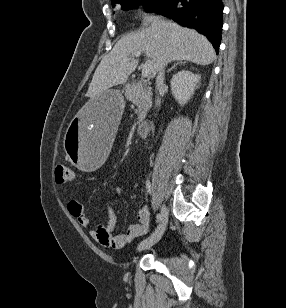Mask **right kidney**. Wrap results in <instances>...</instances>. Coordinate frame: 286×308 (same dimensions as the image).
Masks as SVG:
<instances>
[{
  "instance_id": "obj_1",
  "label": "right kidney",
  "mask_w": 286,
  "mask_h": 308,
  "mask_svg": "<svg viewBox=\"0 0 286 308\" xmlns=\"http://www.w3.org/2000/svg\"><path fill=\"white\" fill-rule=\"evenodd\" d=\"M200 76L191 71L182 70L175 74L171 81V91L176 101L185 105L194 94L196 85L199 83Z\"/></svg>"
}]
</instances>
